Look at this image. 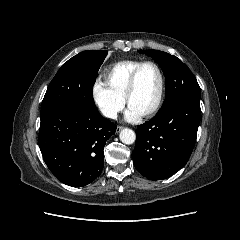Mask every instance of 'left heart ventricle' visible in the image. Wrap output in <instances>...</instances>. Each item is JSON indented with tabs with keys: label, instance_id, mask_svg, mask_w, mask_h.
Segmentation results:
<instances>
[{
	"label": "left heart ventricle",
	"instance_id": "obj_1",
	"mask_svg": "<svg viewBox=\"0 0 240 240\" xmlns=\"http://www.w3.org/2000/svg\"><path fill=\"white\" fill-rule=\"evenodd\" d=\"M159 90V76L150 65L141 69L136 81V88L130 97L129 105L140 114L145 113L154 104Z\"/></svg>",
	"mask_w": 240,
	"mask_h": 240
}]
</instances>
